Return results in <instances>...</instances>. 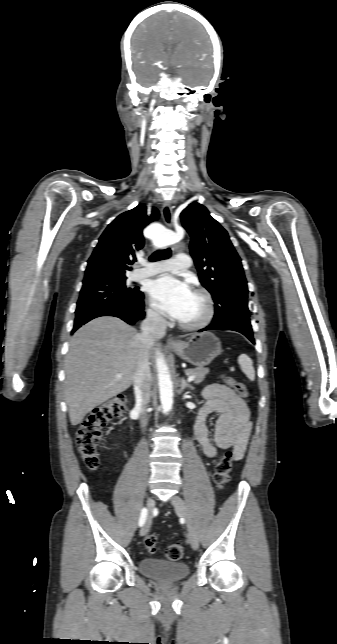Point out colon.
I'll return each instance as SVG.
<instances>
[{
	"instance_id": "colon-1",
	"label": "colon",
	"mask_w": 337,
	"mask_h": 644,
	"mask_svg": "<svg viewBox=\"0 0 337 644\" xmlns=\"http://www.w3.org/2000/svg\"><path fill=\"white\" fill-rule=\"evenodd\" d=\"M224 382L233 388L242 397H247L246 386L229 375H223ZM126 397L117 395L105 403L95 407L81 422L76 435V447L85 465L95 470L99 466V447L102 437V429L106 423L121 415L126 409ZM233 463V454L228 451L218 461L214 481L218 488H223L230 479V471ZM157 544V536L150 534L145 540V546L150 552H154ZM183 547L180 544H171L164 550V556L170 561L180 560L183 556Z\"/></svg>"
}]
</instances>
